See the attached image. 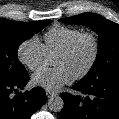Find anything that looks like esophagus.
Returning a JSON list of instances; mask_svg holds the SVG:
<instances>
[{"label": "esophagus", "mask_w": 119, "mask_h": 119, "mask_svg": "<svg viewBox=\"0 0 119 119\" xmlns=\"http://www.w3.org/2000/svg\"><path fill=\"white\" fill-rule=\"evenodd\" d=\"M46 95H47L48 98H51V97H53V96H56L57 93H55V92H53V91L47 90V91H46Z\"/></svg>", "instance_id": "obj_1"}]
</instances>
